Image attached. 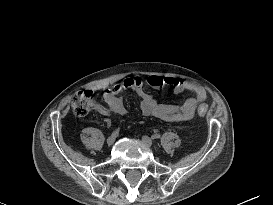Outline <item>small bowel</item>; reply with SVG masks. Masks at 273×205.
<instances>
[{"mask_svg":"<svg viewBox=\"0 0 273 205\" xmlns=\"http://www.w3.org/2000/svg\"><path fill=\"white\" fill-rule=\"evenodd\" d=\"M146 85L152 88L169 86L176 95L190 92L192 96L187 98L180 106L159 103L146 92ZM128 89H132L140 97V108L143 114L152 115L161 120L174 123L184 122L193 118L197 107L207 100L206 90L202 86L180 78L150 76L144 81L140 76H132L125 78L112 88L104 90L103 98L107 106L97 105L96 111L104 116H108L111 113L125 114L126 108L119 95Z\"/></svg>","mask_w":273,"mask_h":205,"instance_id":"small-bowel-1","label":"small bowel"}]
</instances>
